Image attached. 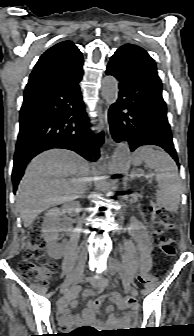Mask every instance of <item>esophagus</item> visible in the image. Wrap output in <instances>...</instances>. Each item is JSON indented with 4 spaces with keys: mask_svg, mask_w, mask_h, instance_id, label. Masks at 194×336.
<instances>
[{
    "mask_svg": "<svg viewBox=\"0 0 194 336\" xmlns=\"http://www.w3.org/2000/svg\"><path fill=\"white\" fill-rule=\"evenodd\" d=\"M104 119H105V124H106L107 132H109V125H108V121H107V110L105 111Z\"/></svg>",
    "mask_w": 194,
    "mask_h": 336,
    "instance_id": "esophagus-1",
    "label": "esophagus"
}]
</instances>
